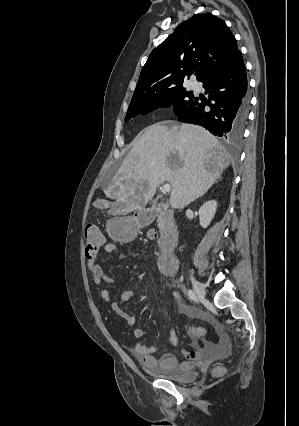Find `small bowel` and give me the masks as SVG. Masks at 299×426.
I'll return each instance as SVG.
<instances>
[{
  "instance_id": "c3829d8e",
  "label": "small bowel",
  "mask_w": 299,
  "mask_h": 426,
  "mask_svg": "<svg viewBox=\"0 0 299 426\" xmlns=\"http://www.w3.org/2000/svg\"><path fill=\"white\" fill-rule=\"evenodd\" d=\"M116 250L117 246L115 243H106L94 257L87 259V266L93 283L100 288L101 298L110 305L113 311L120 316L128 326L134 327L136 324L135 315L123 308L124 303L135 296L134 291L130 289L125 290L118 299H114L105 285L113 284L115 280L106 275L103 268L97 262L101 254H112L116 252ZM180 312L186 314L191 311L181 306ZM132 333L135 338H141L144 335V331L139 327H134ZM176 342L177 337L175 332L171 330L169 344L175 345ZM218 349L219 343L210 341L200 343L197 340H192L191 350L184 351V359L181 361H178L176 357L170 353H164L159 358H156L154 354L159 350V347L147 346L142 343L136 344L132 349V353L144 367L189 370L195 365L209 361L217 353Z\"/></svg>"
}]
</instances>
